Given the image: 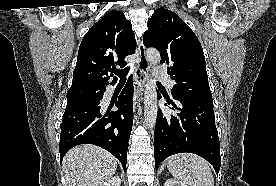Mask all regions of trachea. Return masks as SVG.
Masks as SVG:
<instances>
[{
  "label": "trachea",
  "instance_id": "trachea-1",
  "mask_svg": "<svg viewBox=\"0 0 276 186\" xmlns=\"http://www.w3.org/2000/svg\"><path fill=\"white\" fill-rule=\"evenodd\" d=\"M130 67H127L126 69L119 70L116 74L119 76L120 81H126L127 74L129 72Z\"/></svg>",
  "mask_w": 276,
  "mask_h": 186
}]
</instances>
